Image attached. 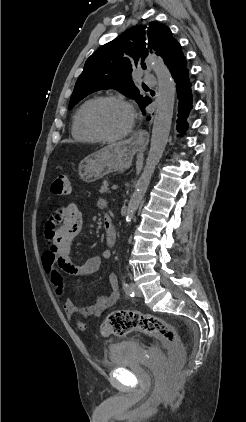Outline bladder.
<instances>
[{"mask_svg":"<svg viewBox=\"0 0 246 422\" xmlns=\"http://www.w3.org/2000/svg\"><path fill=\"white\" fill-rule=\"evenodd\" d=\"M142 352L140 343L135 339H125L112 343L108 347L109 366L123 368L135 364ZM152 360L159 368L166 365V356L160 349L151 351Z\"/></svg>","mask_w":246,"mask_h":422,"instance_id":"1","label":"bladder"}]
</instances>
